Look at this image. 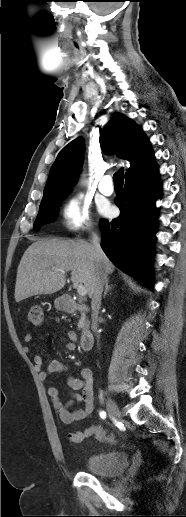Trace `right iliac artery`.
Returning a JSON list of instances; mask_svg holds the SVG:
<instances>
[{
    "label": "right iliac artery",
    "instance_id": "82829eb1",
    "mask_svg": "<svg viewBox=\"0 0 186 517\" xmlns=\"http://www.w3.org/2000/svg\"><path fill=\"white\" fill-rule=\"evenodd\" d=\"M99 415H100V417H101L102 419H106V412H105V411L101 410V411L99 412Z\"/></svg>",
    "mask_w": 186,
    "mask_h": 517
}]
</instances>
